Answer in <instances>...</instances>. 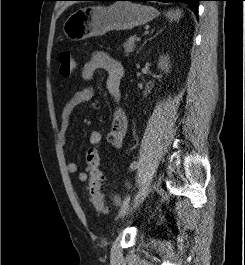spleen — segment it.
Here are the masks:
<instances>
[{
    "instance_id": "spleen-1",
    "label": "spleen",
    "mask_w": 245,
    "mask_h": 265,
    "mask_svg": "<svg viewBox=\"0 0 245 265\" xmlns=\"http://www.w3.org/2000/svg\"><path fill=\"white\" fill-rule=\"evenodd\" d=\"M167 17L172 21V20H179L181 17V11L176 10V11H169L167 12Z\"/></svg>"
}]
</instances>
